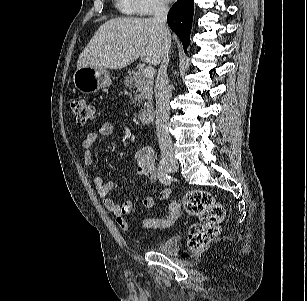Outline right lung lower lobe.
I'll return each instance as SVG.
<instances>
[{
    "mask_svg": "<svg viewBox=\"0 0 307 301\" xmlns=\"http://www.w3.org/2000/svg\"><path fill=\"white\" fill-rule=\"evenodd\" d=\"M194 13L193 0H178L170 9L167 23L182 41L185 51L190 43V31Z\"/></svg>",
    "mask_w": 307,
    "mask_h": 301,
    "instance_id": "1",
    "label": "right lung lower lobe"
}]
</instances>
